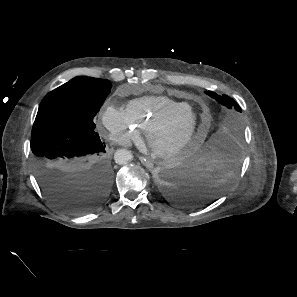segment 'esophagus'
Returning <instances> with one entry per match:
<instances>
[{
  "label": "esophagus",
  "mask_w": 297,
  "mask_h": 297,
  "mask_svg": "<svg viewBox=\"0 0 297 297\" xmlns=\"http://www.w3.org/2000/svg\"><path fill=\"white\" fill-rule=\"evenodd\" d=\"M140 161L142 162V164L148 168V169H151L154 167V164L152 162V160L148 159V158H145V157H140Z\"/></svg>",
  "instance_id": "34e87169"
}]
</instances>
